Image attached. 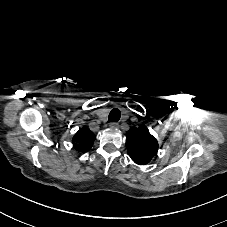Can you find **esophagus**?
<instances>
[{
  "mask_svg": "<svg viewBox=\"0 0 227 227\" xmlns=\"http://www.w3.org/2000/svg\"><path fill=\"white\" fill-rule=\"evenodd\" d=\"M110 127H111V128H116V127H117V124H116V123H111V124H110Z\"/></svg>",
  "mask_w": 227,
  "mask_h": 227,
  "instance_id": "esophagus-1",
  "label": "esophagus"
}]
</instances>
